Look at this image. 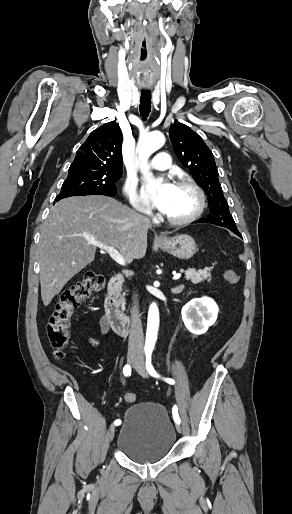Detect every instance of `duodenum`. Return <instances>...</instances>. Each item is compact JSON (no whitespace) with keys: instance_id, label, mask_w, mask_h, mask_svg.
I'll return each instance as SVG.
<instances>
[{"instance_id":"duodenum-1","label":"duodenum","mask_w":292,"mask_h":514,"mask_svg":"<svg viewBox=\"0 0 292 514\" xmlns=\"http://www.w3.org/2000/svg\"><path fill=\"white\" fill-rule=\"evenodd\" d=\"M123 282V274L121 272L115 273L109 281L105 300L107 322L112 329L120 333L128 329L129 326V320L124 316L120 305V292Z\"/></svg>"}]
</instances>
